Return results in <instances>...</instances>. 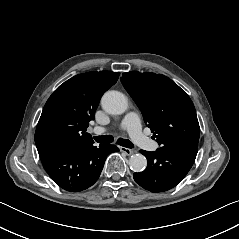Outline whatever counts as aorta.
I'll list each match as a JSON object with an SVG mask.
<instances>
[{
    "label": "aorta",
    "mask_w": 239,
    "mask_h": 239,
    "mask_svg": "<svg viewBox=\"0 0 239 239\" xmlns=\"http://www.w3.org/2000/svg\"><path fill=\"white\" fill-rule=\"evenodd\" d=\"M101 105L103 110H105L107 113L120 115L127 110L128 100L123 93L110 90L102 96ZM129 163L131 170L134 172H142L147 166V160L141 154L132 155L130 157Z\"/></svg>",
    "instance_id": "aorta-1"
}]
</instances>
